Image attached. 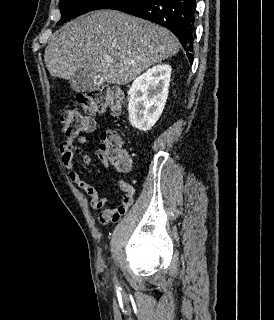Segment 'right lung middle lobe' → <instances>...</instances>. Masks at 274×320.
<instances>
[{
    "mask_svg": "<svg viewBox=\"0 0 274 320\" xmlns=\"http://www.w3.org/2000/svg\"><path fill=\"white\" fill-rule=\"evenodd\" d=\"M112 1L113 0H60L61 19L57 25L63 24L72 17L103 9Z\"/></svg>",
    "mask_w": 274,
    "mask_h": 320,
    "instance_id": "right-lung-middle-lobe-1",
    "label": "right lung middle lobe"
}]
</instances>
